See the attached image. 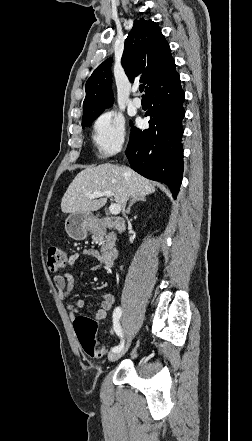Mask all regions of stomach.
<instances>
[{"label": "stomach", "mask_w": 252, "mask_h": 441, "mask_svg": "<svg viewBox=\"0 0 252 441\" xmlns=\"http://www.w3.org/2000/svg\"><path fill=\"white\" fill-rule=\"evenodd\" d=\"M65 228L74 240H84L88 232L95 230L96 218L91 213L74 212L67 217Z\"/></svg>", "instance_id": "stomach-1"}]
</instances>
